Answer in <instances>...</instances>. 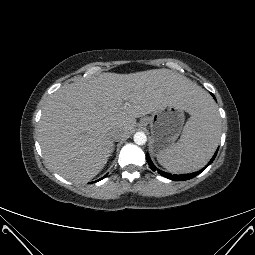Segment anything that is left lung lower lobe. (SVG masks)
<instances>
[{"instance_id": "obj_1", "label": "left lung lower lobe", "mask_w": 255, "mask_h": 255, "mask_svg": "<svg viewBox=\"0 0 255 255\" xmlns=\"http://www.w3.org/2000/svg\"><path fill=\"white\" fill-rule=\"evenodd\" d=\"M212 95H213V94H212ZM213 97H214V95H213ZM217 152H218V149H217V151L215 152V154H214V156L212 157V159L209 161V163H208L203 169H201V170H199V171H197V172L191 173V174L172 175V174H170V173L163 172V171H161V170H159V169H157V168L155 167V165L152 163V161H151V159H150V157H149L148 154H147V161H148V163H149L151 169H152L153 171H158V173H159L160 175H162V176H164V177H166V178L175 180V181H185V180H189V179H191V178L197 176V175L200 174L207 166H209V165L213 162V160L215 159V157H216V155H217Z\"/></svg>"}]
</instances>
